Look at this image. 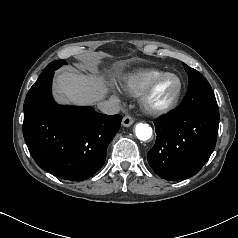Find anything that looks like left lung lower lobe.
<instances>
[{"instance_id": "left-lung-lower-lobe-1", "label": "left lung lower lobe", "mask_w": 238, "mask_h": 238, "mask_svg": "<svg viewBox=\"0 0 238 238\" xmlns=\"http://www.w3.org/2000/svg\"><path fill=\"white\" fill-rule=\"evenodd\" d=\"M157 134L148 162L166 180L192 177L209 159L216 144L218 106H206L191 113L177 110L154 121Z\"/></svg>"}]
</instances>
